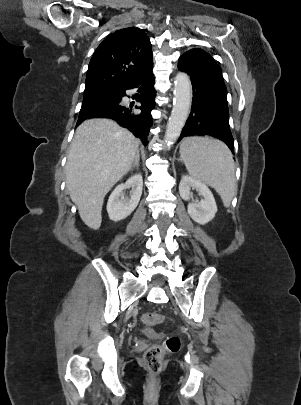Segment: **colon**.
<instances>
[{"label": "colon", "mask_w": 301, "mask_h": 405, "mask_svg": "<svg viewBox=\"0 0 301 405\" xmlns=\"http://www.w3.org/2000/svg\"><path fill=\"white\" fill-rule=\"evenodd\" d=\"M163 321V316L157 313H145L142 315V322L146 326H154ZM181 347V340L178 336L168 337L164 343L149 347L143 356L144 365L152 374H158L163 367V359L168 353H176Z\"/></svg>", "instance_id": "1"}]
</instances>
